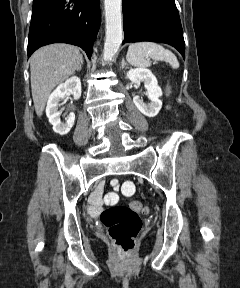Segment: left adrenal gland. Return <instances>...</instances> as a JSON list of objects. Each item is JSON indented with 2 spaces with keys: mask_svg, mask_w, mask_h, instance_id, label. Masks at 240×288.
<instances>
[{
  "mask_svg": "<svg viewBox=\"0 0 240 288\" xmlns=\"http://www.w3.org/2000/svg\"><path fill=\"white\" fill-rule=\"evenodd\" d=\"M125 65H127V63L125 62L124 58L122 59L121 62V68L123 69L125 67Z\"/></svg>",
  "mask_w": 240,
  "mask_h": 288,
  "instance_id": "left-adrenal-gland-1",
  "label": "left adrenal gland"
}]
</instances>
